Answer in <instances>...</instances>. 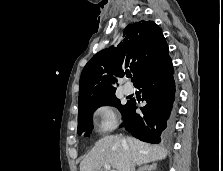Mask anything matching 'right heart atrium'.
I'll list each match as a JSON object with an SVG mask.
<instances>
[{
    "mask_svg": "<svg viewBox=\"0 0 223 171\" xmlns=\"http://www.w3.org/2000/svg\"><path fill=\"white\" fill-rule=\"evenodd\" d=\"M93 116L95 129L100 133L110 132L118 125V117L111 105H100Z\"/></svg>",
    "mask_w": 223,
    "mask_h": 171,
    "instance_id": "1",
    "label": "right heart atrium"
}]
</instances>
